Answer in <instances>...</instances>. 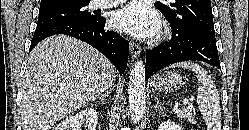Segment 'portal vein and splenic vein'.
I'll use <instances>...</instances> for the list:
<instances>
[{
  "label": "portal vein and splenic vein",
  "mask_w": 249,
  "mask_h": 130,
  "mask_svg": "<svg viewBox=\"0 0 249 130\" xmlns=\"http://www.w3.org/2000/svg\"><path fill=\"white\" fill-rule=\"evenodd\" d=\"M183 104H184V105H187V104H190V102H189L188 99H183Z\"/></svg>",
  "instance_id": "portal-vein-and-splenic-vein-1"
}]
</instances>
